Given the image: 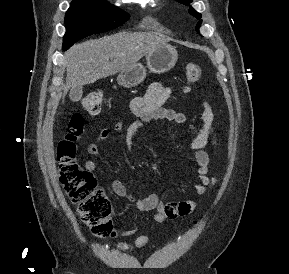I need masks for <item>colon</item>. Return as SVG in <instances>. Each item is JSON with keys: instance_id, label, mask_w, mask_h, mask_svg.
<instances>
[{"instance_id": "obj_1", "label": "colon", "mask_w": 289, "mask_h": 274, "mask_svg": "<svg viewBox=\"0 0 289 274\" xmlns=\"http://www.w3.org/2000/svg\"><path fill=\"white\" fill-rule=\"evenodd\" d=\"M201 77L198 64L186 66V89L197 83ZM102 96L99 92H90L81 100L83 109L90 114L101 110ZM84 131V120L79 114L74 115L68 125L65 136L57 145V162L60 182L85 225L98 237L107 236L112 228V204L104 189L97 183L93 174L76 160L77 141Z\"/></svg>"}]
</instances>
